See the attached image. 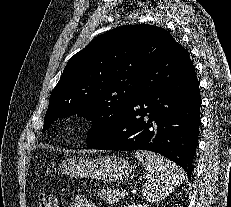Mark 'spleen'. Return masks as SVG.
Wrapping results in <instances>:
<instances>
[{"mask_svg": "<svg viewBox=\"0 0 231 207\" xmlns=\"http://www.w3.org/2000/svg\"><path fill=\"white\" fill-rule=\"evenodd\" d=\"M134 155L150 174L143 187L146 201L158 202L166 198L185 180V172L181 168L154 152L137 150Z\"/></svg>", "mask_w": 231, "mask_h": 207, "instance_id": "3e777b00", "label": "spleen"}]
</instances>
